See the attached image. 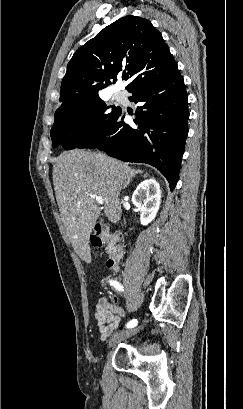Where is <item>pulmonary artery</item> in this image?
<instances>
[{
    "label": "pulmonary artery",
    "mask_w": 243,
    "mask_h": 409,
    "mask_svg": "<svg viewBox=\"0 0 243 409\" xmlns=\"http://www.w3.org/2000/svg\"><path fill=\"white\" fill-rule=\"evenodd\" d=\"M114 97L119 100V101H124L125 100V93L122 91H117L114 93Z\"/></svg>",
    "instance_id": "1"
}]
</instances>
